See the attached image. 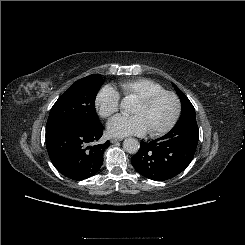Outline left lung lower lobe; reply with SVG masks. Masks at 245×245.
Masks as SVG:
<instances>
[{
  "label": "left lung lower lobe",
  "mask_w": 245,
  "mask_h": 245,
  "mask_svg": "<svg viewBox=\"0 0 245 245\" xmlns=\"http://www.w3.org/2000/svg\"><path fill=\"white\" fill-rule=\"evenodd\" d=\"M196 147L161 137L150 143L141 142L139 151L131 158V163L141 175L163 181L178 175L190 164Z\"/></svg>",
  "instance_id": "left-lung-lower-lobe-1"
}]
</instances>
